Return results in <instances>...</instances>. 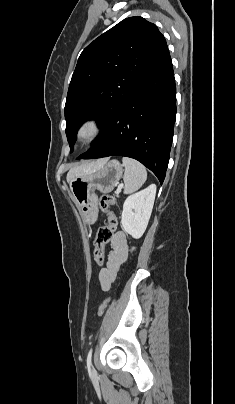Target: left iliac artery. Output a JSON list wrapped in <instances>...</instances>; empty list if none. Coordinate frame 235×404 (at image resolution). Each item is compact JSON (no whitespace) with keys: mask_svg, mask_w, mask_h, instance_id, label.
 <instances>
[{"mask_svg":"<svg viewBox=\"0 0 235 404\" xmlns=\"http://www.w3.org/2000/svg\"><path fill=\"white\" fill-rule=\"evenodd\" d=\"M91 358H92V349L89 350V353H88V356H87V367H88V369H90L91 365H92Z\"/></svg>","mask_w":235,"mask_h":404,"instance_id":"obj_1","label":"left iliac artery"}]
</instances>
